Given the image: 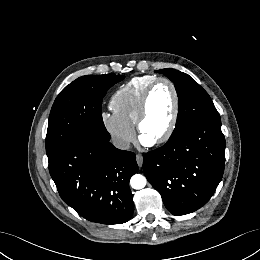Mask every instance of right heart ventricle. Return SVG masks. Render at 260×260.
I'll list each match as a JSON object with an SVG mask.
<instances>
[{
    "mask_svg": "<svg viewBox=\"0 0 260 260\" xmlns=\"http://www.w3.org/2000/svg\"><path fill=\"white\" fill-rule=\"evenodd\" d=\"M157 79L152 75L134 77L114 92L110 107L131 125L136 124L140 104L148 87Z\"/></svg>",
    "mask_w": 260,
    "mask_h": 260,
    "instance_id": "right-heart-ventricle-1",
    "label": "right heart ventricle"
}]
</instances>
